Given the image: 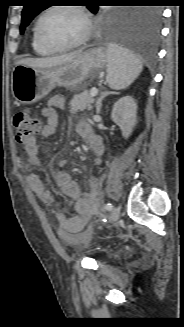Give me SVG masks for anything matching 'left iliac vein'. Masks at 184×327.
Returning <instances> with one entry per match:
<instances>
[{
    "mask_svg": "<svg viewBox=\"0 0 184 327\" xmlns=\"http://www.w3.org/2000/svg\"><path fill=\"white\" fill-rule=\"evenodd\" d=\"M120 217V208L119 207H115L111 213V216H110V223L113 224L115 223Z\"/></svg>",
    "mask_w": 184,
    "mask_h": 327,
    "instance_id": "left-iliac-vein-1",
    "label": "left iliac vein"
}]
</instances>
